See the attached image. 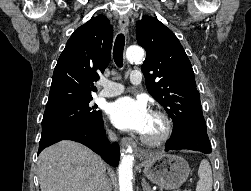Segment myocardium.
Wrapping results in <instances>:
<instances>
[{"label": "myocardium", "instance_id": "myocardium-1", "mask_svg": "<svg viewBox=\"0 0 251 191\" xmlns=\"http://www.w3.org/2000/svg\"><path fill=\"white\" fill-rule=\"evenodd\" d=\"M151 117L156 119L160 123V131L156 136H149L143 132V134L141 135V141L149 146H159L165 143L171 136V120L165 113L160 111L152 112Z\"/></svg>", "mask_w": 251, "mask_h": 191}]
</instances>
